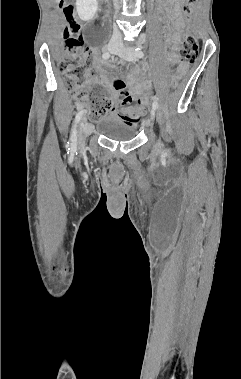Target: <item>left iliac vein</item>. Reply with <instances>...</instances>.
I'll use <instances>...</instances> for the list:
<instances>
[{"label": "left iliac vein", "instance_id": "1", "mask_svg": "<svg viewBox=\"0 0 241 379\" xmlns=\"http://www.w3.org/2000/svg\"><path fill=\"white\" fill-rule=\"evenodd\" d=\"M116 54L127 61H135L137 59V56L135 55V51L129 47H123V46L120 47V49L116 52ZM154 118H155V109L153 108L150 111V120L146 121L145 125L149 126L151 121L154 120Z\"/></svg>", "mask_w": 241, "mask_h": 379}]
</instances>
